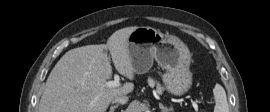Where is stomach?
<instances>
[{
  "instance_id": "stomach-1",
  "label": "stomach",
  "mask_w": 270,
  "mask_h": 112,
  "mask_svg": "<svg viewBox=\"0 0 270 112\" xmlns=\"http://www.w3.org/2000/svg\"><path fill=\"white\" fill-rule=\"evenodd\" d=\"M128 48L135 73L148 72L155 60L166 70L162 80L168 92L183 95L189 91L192 86L191 55L178 37L142 26L130 34Z\"/></svg>"
}]
</instances>
